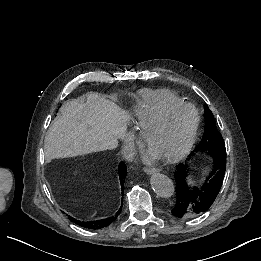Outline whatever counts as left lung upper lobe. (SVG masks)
<instances>
[{
    "instance_id": "left-lung-upper-lobe-1",
    "label": "left lung upper lobe",
    "mask_w": 261,
    "mask_h": 261,
    "mask_svg": "<svg viewBox=\"0 0 261 261\" xmlns=\"http://www.w3.org/2000/svg\"><path fill=\"white\" fill-rule=\"evenodd\" d=\"M205 129L203 138L196 147V151H210L216 153H226L222 135L218 132L212 112L206 108Z\"/></svg>"
}]
</instances>
